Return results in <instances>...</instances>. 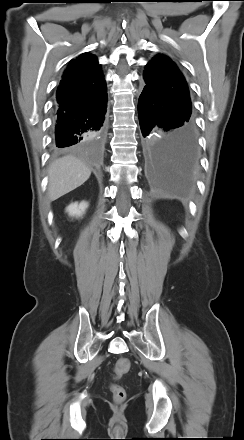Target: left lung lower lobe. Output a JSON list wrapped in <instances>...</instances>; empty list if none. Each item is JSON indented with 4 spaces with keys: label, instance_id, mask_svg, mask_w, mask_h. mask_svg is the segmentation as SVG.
<instances>
[{
    "label": "left lung lower lobe",
    "instance_id": "1",
    "mask_svg": "<svg viewBox=\"0 0 244 440\" xmlns=\"http://www.w3.org/2000/svg\"><path fill=\"white\" fill-rule=\"evenodd\" d=\"M138 115L149 170L173 178L181 190H187L193 184L198 163L192 114L145 86L138 100Z\"/></svg>",
    "mask_w": 244,
    "mask_h": 440
}]
</instances>
